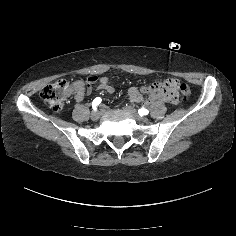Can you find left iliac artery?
<instances>
[{
	"instance_id": "left-iliac-artery-1",
	"label": "left iliac artery",
	"mask_w": 236,
	"mask_h": 236,
	"mask_svg": "<svg viewBox=\"0 0 236 236\" xmlns=\"http://www.w3.org/2000/svg\"><path fill=\"white\" fill-rule=\"evenodd\" d=\"M138 113L140 116H144V115H147L149 113V111L145 108H141L138 110Z\"/></svg>"
}]
</instances>
